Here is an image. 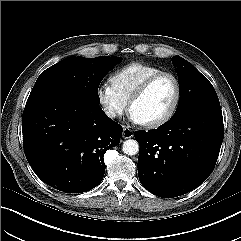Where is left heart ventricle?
I'll use <instances>...</instances> for the list:
<instances>
[{
	"label": "left heart ventricle",
	"instance_id": "obj_1",
	"mask_svg": "<svg viewBox=\"0 0 241 241\" xmlns=\"http://www.w3.org/2000/svg\"><path fill=\"white\" fill-rule=\"evenodd\" d=\"M175 97V84L169 77L159 78L132 107V114L142 123L162 117Z\"/></svg>",
	"mask_w": 241,
	"mask_h": 241
}]
</instances>
